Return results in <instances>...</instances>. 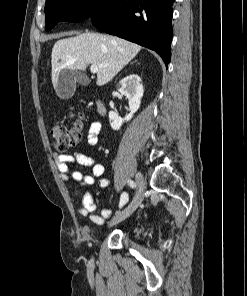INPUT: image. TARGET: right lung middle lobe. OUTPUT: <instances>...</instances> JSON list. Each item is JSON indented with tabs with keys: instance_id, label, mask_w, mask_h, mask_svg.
Here are the masks:
<instances>
[{
	"instance_id": "1",
	"label": "right lung middle lobe",
	"mask_w": 247,
	"mask_h": 296,
	"mask_svg": "<svg viewBox=\"0 0 247 296\" xmlns=\"http://www.w3.org/2000/svg\"><path fill=\"white\" fill-rule=\"evenodd\" d=\"M111 0H47L46 31L60 21L78 22L94 13L104 12Z\"/></svg>"
}]
</instances>
